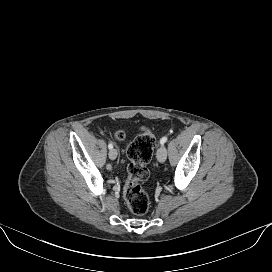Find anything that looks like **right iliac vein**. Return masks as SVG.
Instances as JSON below:
<instances>
[{
	"mask_svg": "<svg viewBox=\"0 0 272 272\" xmlns=\"http://www.w3.org/2000/svg\"><path fill=\"white\" fill-rule=\"evenodd\" d=\"M117 150L116 149H110V151H109V158L111 159V160H114V159H116V157H117Z\"/></svg>",
	"mask_w": 272,
	"mask_h": 272,
	"instance_id": "63e3f726",
	"label": "right iliac vein"
}]
</instances>
